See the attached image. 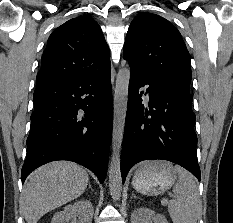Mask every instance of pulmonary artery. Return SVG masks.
<instances>
[{"mask_svg":"<svg viewBox=\"0 0 233 223\" xmlns=\"http://www.w3.org/2000/svg\"><path fill=\"white\" fill-rule=\"evenodd\" d=\"M145 89H148V85L145 87Z\"/></svg>","mask_w":233,"mask_h":223,"instance_id":"e3ab8cb5","label":"pulmonary artery"}]
</instances>
